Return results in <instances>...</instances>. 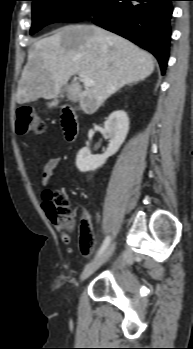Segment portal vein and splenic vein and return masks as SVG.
<instances>
[{
    "mask_svg": "<svg viewBox=\"0 0 193 349\" xmlns=\"http://www.w3.org/2000/svg\"><path fill=\"white\" fill-rule=\"evenodd\" d=\"M79 76H80L81 81H82L84 86H86V87L94 86V81L90 77H88L85 74H79Z\"/></svg>",
    "mask_w": 193,
    "mask_h": 349,
    "instance_id": "18ae733b",
    "label": "portal vein and splenic vein"
}]
</instances>
